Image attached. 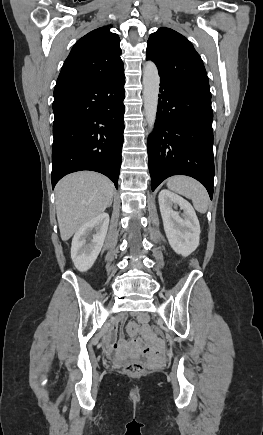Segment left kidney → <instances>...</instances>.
Instances as JSON below:
<instances>
[{"label": "left kidney", "mask_w": 263, "mask_h": 435, "mask_svg": "<svg viewBox=\"0 0 263 435\" xmlns=\"http://www.w3.org/2000/svg\"><path fill=\"white\" fill-rule=\"evenodd\" d=\"M164 230L173 250L184 257L199 245L200 224L192 205L181 196L161 190L158 196ZM180 207V215L176 209Z\"/></svg>", "instance_id": "5707ae66"}]
</instances>
